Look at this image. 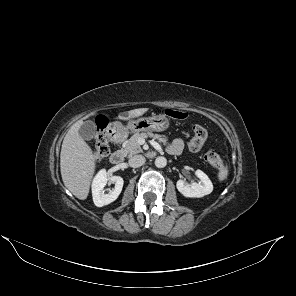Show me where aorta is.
I'll return each mask as SVG.
<instances>
[{"label":"aorta","instance_id":"762f6f07","mask_svg":"<svg viewBox=\"0 0 296 296\" xmlns=\"http://www.w3.org/2000/svg\"><path fill=\"white\" fill-rule=\"evenodd\" d=\"M167 164V159L165 157L159 156L155 159V166L158 168H163Z\"/></svg>","mask_w":296,"mask_h":296}]
</instances>
